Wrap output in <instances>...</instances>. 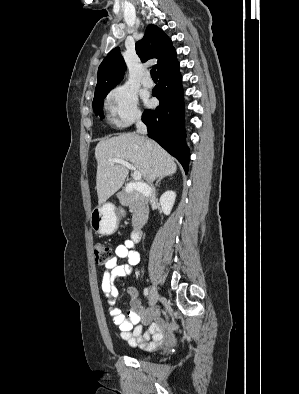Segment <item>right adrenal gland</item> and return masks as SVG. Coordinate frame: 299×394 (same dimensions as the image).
Masks as SVG:
<instances>
[{"instance_id":"1","label":"right adrenal gland","mask_w":299,"mask_h":394,"mask_svg":"<svg viewBox=\"0 0 299 394\" xmlns=\"http://www.w3.org/2000/svg\"><path fill=\"white\" fill-rule=\"evenodd\" d=\"M163 179V177H159L158 178V180H157V182H156V186H159V184H160V181Z\"/></svg>"}]
</instances>
